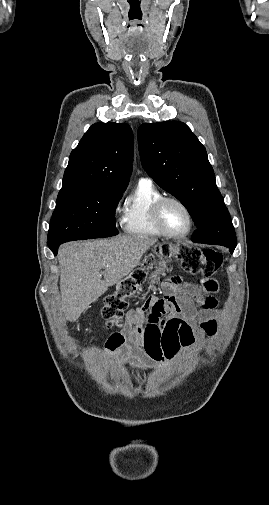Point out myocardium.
Returning <instances> with one entry per match:
<instances>
[{
  "label": "myocardium",
  "mask_w": 269,
  "mask_h": 505,
  "mask_svg": "<svg viewBox=\"0 0 269 505\" xmlns=\"http://www.w3.org/2000/svg\"><path fill=\"white\" fill-rule=\"evenodd\" d=\"M167 202H174V203L179 204L187 213V216L189 219V225H188V228L186 231H184L182 233H173L165 227V225L162 221L161 213H162L163 206ZM151 214H152V218H153L155 226L158 228V230L164 236H167V237H171V238L186 237L187 235L190 234V232L192 231V229L194 227V216H193V213H192L190 207L183 200H181L180 198L174 197V196H161L160 198H158L152 205Z\"/></svg>",
  "instance_id": "f54148a6"
}]
</instances>
